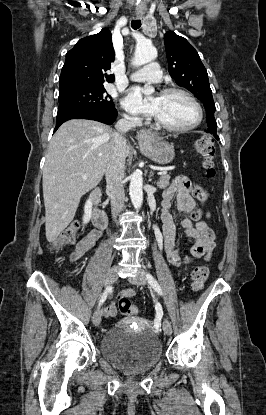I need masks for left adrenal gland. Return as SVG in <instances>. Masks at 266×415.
<instances>
[{
	"label": "left adrenal gland",
	"instance_id": "1",
	"mask_svg": "<svg viewBox=\"0 0 266 415\" xmlns=\"http://www.w3.org/2000/svg\"><path fill=\"white\" fill-rule=\"evenodd\" d=\"M153 172H150L149 179L152 180Z\"/></svg>",
	"mask_w": 266,
	"mask_h": 415
}]
</instances>
